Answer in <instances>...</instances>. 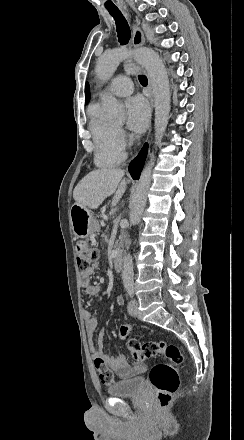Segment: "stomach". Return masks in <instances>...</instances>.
<instances>
[{
  "instance_id": "0dacf381",
  "label": "stomach",
  "mask_w": 244,
  "mask_h": 440,
  "mask_svg": "<svg viewBox=\"0 0 244 440\" xmlns=\"http://www.w3.org/2000/svg\"><path fill=\"white\" fill-rule=\"evenodd\" d=\"M69 218L76 238H89L91 234L100 230L95 214L77 202L71 206Z\"/></svg>"
}]
</instances>
